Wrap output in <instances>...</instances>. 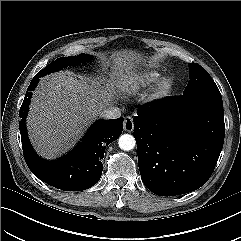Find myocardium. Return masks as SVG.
Returning <instances> with one entry per match:
<instances>
[{
	"label": "myocardium",
	"instance_id": "myocardium-1",
	"mask_svg": "<svg viewBox=\"0 0 241 241\" xmlns=\"http://www.w3.org/2000/svg\"><path fill=\"white\" fill-rule=\"evenodd\" d=\"M172 86L173 84L170 78L165 77L160 79L152 90V94H151L152 98L162 99L166 97L167 95L170 94L172 90Z\"/></svg>",
	"mask_w": 241,
	"mask_h": 241
}]
</instances>
